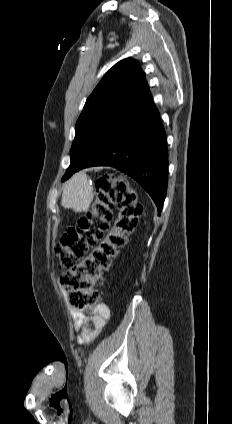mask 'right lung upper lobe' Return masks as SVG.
Masks as SVG:
<instances>
[{
    "mask_svg": "<svg viewBox=\"0 0 232 424\" xmlns=\"http://www.w3.org/2000/svg\"><path fill=\"white\" fill-rule=\"evenodd\" d=\"M152 99L145 74L134 59L115 64L87 99L84 109L106 105L134 107Z\"/></svg>",
    "mask_w": 232,
    "mask_h": 424,
    "instance_id": "obj_1",
    "label": "right lung upper lobe"
}]
</instances>
